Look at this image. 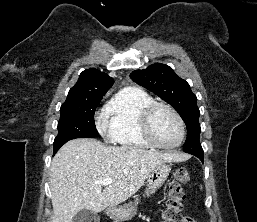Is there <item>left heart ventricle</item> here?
<instances>
[{
  "instance_id": "1",
  "label": "left heart ventricle",
  "mask_w": 257,
  "mask_h": 222,
  "mask_svg": "<svg viewBox=\"0 0 257 222\" xmlns=\"http://www.w3.org/2000/svg\"><path fill=\"white\" fill-rule=\"evenodd\" d=\"M153 134L158 142L164 145L177 143L180 128L176 118L165 108H159L151 120Z\"/></svg>"
}]
</instances>
